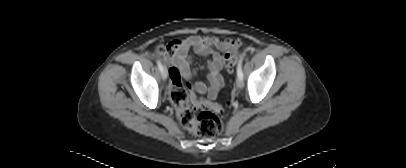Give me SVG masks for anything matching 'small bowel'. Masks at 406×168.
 <instances>
[{
	"label": "small bowel",
	"mask_w": 406,
	"mask_h": 168,
	"mask_svg": "<svg viewBox=\"0 0 406 168\" xmlns=\"http://www.w3.org/2000/svg\"><path fill=\"white\" fill-rule=\"evenodd\" d=\"M238 47L239 43L236 40H224L214 36L194 35L184 40L171 42L167 47L164 60L172 66L171 70L177 71L178 78L181 82L182 78L189 79L192 77L189 66L191 51L199 55H210L211 59L208 60L206 64L209 86H206L203 82H196L194 88L196 92L206 94L208 99L214 100L224 84V79L220 74L224 54L232 53L236 51ZM171 70L170 80L172 86L173 78Z\"/></svg>",
	"instance_id": "1"
}]
</instances>
